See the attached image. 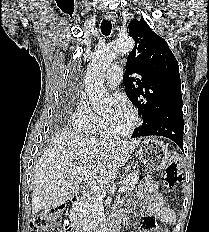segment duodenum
I'll return each mask as SVG.
<instances>
[{
  "label": "duodenum",
  "mask_w": 209,
  "mask_h": 232,
  "mask_svg": "<svg viewBox=\"0 0 209 232\" xmlns=\"http://www.w3.org/2000/svg\"><path fill=\"white\" fill-rule=\"evenodd\" d=\"M83 199H84L83 194L73 196L71 199L72 210L77 208L83 202ZM73 225L75 232H90L89 229H87L78 221H74ZM117 230H118L117 225L115 223H110V224H100L98 227L94 229L93 232H117Z\"/></svg>",
  "instance_id": "obj_1"
}]
</instances>
